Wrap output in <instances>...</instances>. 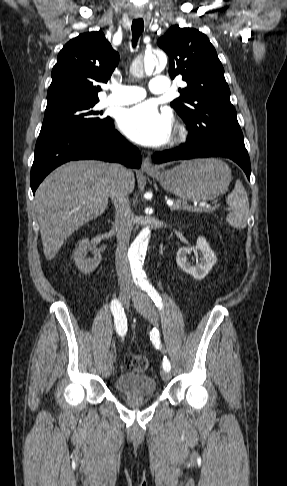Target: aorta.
Segmentation results:
<instances>
[{
	"instance_id": "aorta-1",
	"label": "aorta",
	"mask_w": 287,
	"mask_h": 486,
	"mask_svg": "<svg viewBox=\"0 0 287 486\" xmlns=\"http://www.w3.org/2000/svg\"><path fill=\"white\" fill-rule=\"evenodd\" d=\"M166 57L157 58L154 55L149 56L144 63L145 71L152 72L154 68H161L166 65ZM151 230L149 227H144L136 236L128 250V258L131 264L132 272L135 276L140 278V283L148 286L149 282L142 271V261L146 254L147 246L150 240Z\"/></svg>"
}]
</instances>
